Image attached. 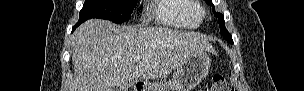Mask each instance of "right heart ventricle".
Here are the masks:
<instances>
[{"label": "right heart ventricle", "instance_id": "1", "mask_svg": "<svg viewBox=\"0 0 304 91\" xmlns=\"http://www.w3.org/2000/svg\"><path fill=\"white\" fill-rule=\"evenodd\" d=\"M158 24L180 29H195L201 22V10L193 0H157L151 9Z\"/></svg>", "mask_w": 304, "mask_h": 91}]
</instances>
